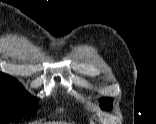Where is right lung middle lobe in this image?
<instances>
[{"label":"right lung middle lobe","mask_w":156,"mask_h":124,"mask_svg":"<svg viewBox=\"0 0 156 124\" xmlns=\"http://www.w3.org/2000/svg\"><path fill=\"white\" fill-rule=\"evenodd\" d=\"M37 107V98L31 97L16 79L0 77V124L34 115Z\"/></svg>","instance_id":"1"}]
</instances>
